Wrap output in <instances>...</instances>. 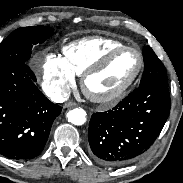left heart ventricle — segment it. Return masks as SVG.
Wrapping results in <instances>:
<instances>
[{
  "label": "left heart ventricle",
  "instance_id": "obj_1",
  "mask_svg": "<svg viewBox=\"0 0 183 183\" xmlns=\"http://www.w3.org/2000/svg\"><path fill=\"white\" fill-rule=\"evenodd\" d=\"M139 66V57L133 51L117 54L108 67L93 75L87 88L93 94L106 96L121 89L134 76Z\"/></svg>",
  "mask_w": 183,
  "mask_h": 183
}]
</instances>
